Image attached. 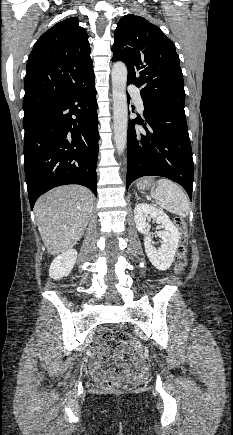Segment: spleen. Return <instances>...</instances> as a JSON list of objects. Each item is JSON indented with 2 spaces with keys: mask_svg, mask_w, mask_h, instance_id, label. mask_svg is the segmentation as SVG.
Segmentation results:
<instances>
[{
  "mask_svg": "<svg viewBox=\"0 0 233 435\" xmlns=\"http://www.w3.org/2000/svg\"><path fill=\"white\" fill-rule=\"evenodd\" d=\"M151 196L165 210L183 218L188 216V198L183 190L173 181L168 179L158 180L157 188L151 193Z\"/></svg>",
  "mask_w": 233,
  "mask_h": 435,
  "instance_id": "1",
  "label": "spleen"
}]
</instances>
